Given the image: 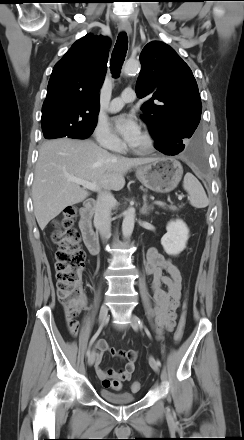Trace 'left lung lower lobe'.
<instances>
[{"instance_id": "left-lung-lower-lobe-1", "label": "left lung lower lobe", "mask_w": 244, "mask_h": 440, "mask_svg": "<svg viewBox=\"0 0 244 440\" xmlns=\"http://www.w3.org/2000/svg\"><path fill=\"white\" fill-rule=\"evenodd\" d=\"M199 146L197 143L193 144V145H185L184 147H181L180 149H173L167 152H162L164 154L167 155H176L180 152L187 151V156L189 157V159L200 169V170H204V159L201 156V153L199 151ZM158 150V149H157Z\"/></svg>"}]
</instances>
